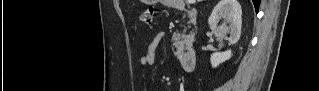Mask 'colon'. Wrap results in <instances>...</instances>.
<instances>
[{"instance_id":"1","label":"colon","mask_w":319,"mask_h":91,"mask_svg":"<svg viewBox=\"0 0 319 91\" xmlns=\"http://www.w3.org/2000/svg\"><path fill=\"white\" fill-rule=\"evenodd\" d=\"M154 16V7L149 6L147 7L140 15L141 22L146 25H151L153 22Z\"/></svg>"}]
</instances>
